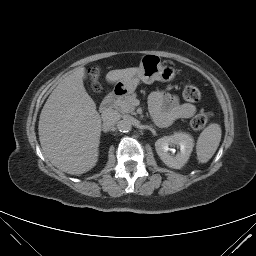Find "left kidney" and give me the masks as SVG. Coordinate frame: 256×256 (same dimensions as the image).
<instances>
[{
	"instance_id": "1",
	"label": "left kidney",
	"mask_w": 256,
	"mask_h": 256,
	"mask_svg": "<svg viewBox=\"0 0 256 256\" xmlns=\"http://www.w3.org/2000/svg\"><path fill=\"white\" fill-rule=\"evenodd\" d=\"M177 146L179 152L173 156L170 147ZM194 146L193 138L184 132H176L171 136H164L155 142V149L160 159L170 168L180 169L187 163Z\"/></svg>"
}]
</instances>
